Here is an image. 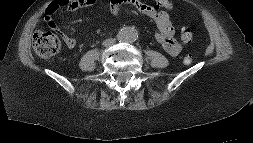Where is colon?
Segmentation results:
<instances>
[{
	"instance_id": "1",
	"label": "colon",
	"mask_w": 253,
	"mask_h": 143,
	"mask_svg": "<svg viewBox=\"0 0 253 143\" xmlns=\"http://www.w3.org/2000/svg\"><path fill=\"white\" fill-rule=\"evenodd\" d=\"M90 2L92 0H54L49 4L47 9L54 14L60 8H77ZM180 34L186 42H189L192 38L190 30L184 24L180 28ZM32 42L36 54L41 58H50L56 55L61 47L59 39L50 31L35 32ZM192 61L193 57L190 54L183 58V63L186 65L191 64Z\"/></svg>"
}]
</instances>
